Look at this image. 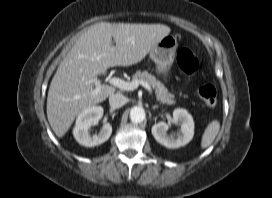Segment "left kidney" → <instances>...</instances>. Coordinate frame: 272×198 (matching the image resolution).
<instances>
[{
  "label": "left kidney",
  "mask_w": 272,
  "mask_h": 198,
  "mask_svg": "<svg viewBox=\"0 0 272 198\" xmlns=\"http://www.w3.org/2000/svg\"><path fill=\"white\" fill-rule=\"evenodd\" d=\"M173 120L181 124V131L175 138L168 135V124L159 122L152 127V135L155 140L167 148H179L189 143L194 136V121L192 116L185 109H175L173 112Z\"/></svg>",
  "instance_id": "5707ae66"
}]
</instances>
